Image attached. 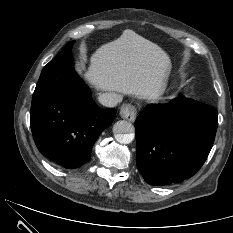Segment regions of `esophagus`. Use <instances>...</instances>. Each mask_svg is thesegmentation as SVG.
Instances as JSON below:
<instances>
[{
	"instance_id": "34e87169",
	"label": "esophagus",
	"mask_w": 233,
	"mask_h": 233,
	"mask_svg": "<svg viewBox=\"0 0 233 233\" xmlns=\"http://www.w3.org/2000/svg\"><path fill=\"white\" fill-rule=\"evenodd\" d=\"M137 109L131 104H123L120 107V116L123 119L133 122L136 118Z\"/></svg>"
}]
</instances>
